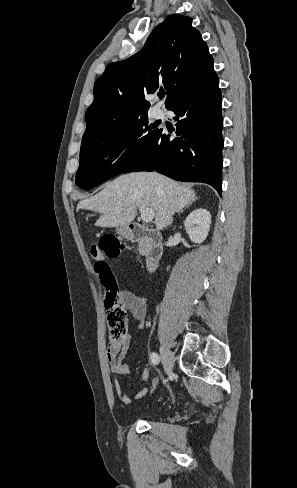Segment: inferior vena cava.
Masks as SVG:
<instances>
[{
  "mask_svg": "<svg viewBox=\"0 0 297 488\" xmlns=\"http://www.w3.org/2000/svg\"><path fill=\"white\" fill-rule=\"evenodd\" d=\"M172 221H173V219H172V217L170 216V217H169V219H168L167 224H168V225H170V224L172 223Z\"/></svg>",
  "mask_w": 297,
  "mask_h": 488,
  "instance_id": "1",
  "label": "inferior vena cava"
}]
</instances>
